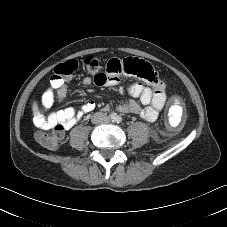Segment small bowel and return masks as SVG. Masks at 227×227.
I'll return each instance as SVG.
<instances>
[{"mask_svg":"<svg viewBox=\"0 0 227 227\" xmlns=\"http://www.w3.org/2000/svg\"><path fill=\"white\" fill-rule=\"evenodd\" d=\"M117 61L120 69L123 70V61ZM153 71V79H143L147 85L133 83L127 88L128 93L132 97L138 98L143 107H141V105L134 100H126L119 104L118 109L120 111L139 114L149 122H153L158 118L161 109L165 105L167 93L165 82L159 77L158 73L154 69ZM102 75V83H98L94 76H87L83 78L82 82L86 86L92 83L106 86L115 85L117 83L118 75H114L109 71L103 72ZM66 96V85H62L57 92H54L53 89L46 91L42 96L43 111L42 113H39L35 116V125L42 129H49L54 126H59L62 130H68L77 123L82 113H89L96 107V103L94 101H88L83 105L81 110H76L73 107H66L53 111L48 115L45 114V112L51 109L55 102H63L66 99ZM109 109V106L104 107L105 111H108Z\"/></svg>","mask_w":227,"mask_h":227,"instance_id":"c3829d8e","label":"small bowel"}]
</instances>
